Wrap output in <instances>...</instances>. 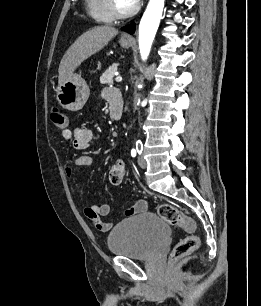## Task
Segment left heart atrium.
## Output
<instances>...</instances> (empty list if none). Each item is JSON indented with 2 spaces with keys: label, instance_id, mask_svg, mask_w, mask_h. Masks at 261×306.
I'll return each mask as SVG.
<instances>
[{
  "label": "left heart atrium",
  "instance_id": "1",
  "mask_svg": "<svg viewBox=\"0 0 261 306\" xmlns=\"http://www.w3.org/2000/svg\"><path fill=\"white\" fill-rule=\"evenodd\" d=\"M133 4H136L139 0H130Z\"/></svg>",
  "mask_w": 261,
  "mask_h": 306
}]
</instances>
